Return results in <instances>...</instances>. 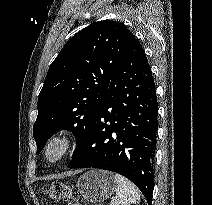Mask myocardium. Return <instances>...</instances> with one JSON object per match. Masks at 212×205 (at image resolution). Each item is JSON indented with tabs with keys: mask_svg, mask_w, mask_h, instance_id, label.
I'll return each instance as SVG.
<instances>
[{
	"mask_svg": "<svg viewBox=\"0 0 212 205\" xmlns=\"http://www.w3.org/2000/svg\"><path fill=\"white\" fill-rule=\"evenodd\" d=\"M73 141L66 132L53 134L46 142L43 150L44 158L50 163H56L64 159L71 151Z\"/></svg>",
	"mask_w": 212,
	"mask_h": 205,
	"instance_id": "myocardium-1",
	"label": "myocardium"
}]
</instances>
